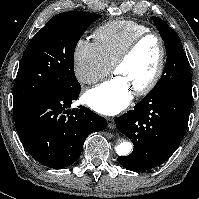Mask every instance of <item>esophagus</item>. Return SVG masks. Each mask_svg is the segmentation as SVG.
Listing matches in <instances>:
<instances>
[{
	"mask_svg": "<svg viewBox=\"0 0 199 199\" xmlns=\"http://www.w3.org/2000/svg\"><path fill=\"white\" fill-rule=\"evenodd\" d=\"M108 128L113 129L115 128V120L113 118H107Z\"/></svg>",
	"mask_w": 199,
	"mask_h": 199,
	"instance_id": "obj_1",
	"label": "esophagus"
}]
</instances>
